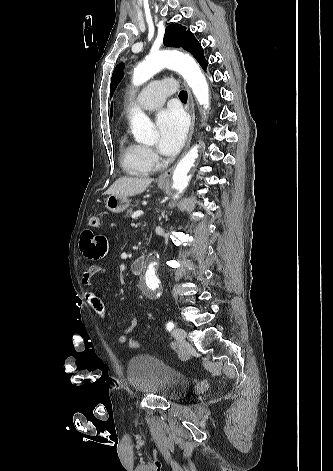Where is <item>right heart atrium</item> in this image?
I'll return each instance as SVG.
<instances>
[{"instance_id":"d8ad5b80","label":"right heart atrium","mask_w":333,"mask_h":471,"mask_svg":"<svg viewBox=\"0 0 333 471\" xmlns=\"http://www.w3.org/2000/svg\"><path fill=\"white\" fill-rule=\"evenodd\" d=\"M144 156L147 162L151 164L152 166H155L157 164L158 156L152 149L144 148Z\"/></svg>"}]
</instances>
